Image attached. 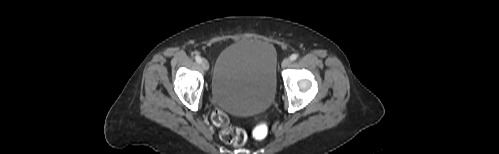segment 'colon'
<instances>
[{
    "instance_id": "colon-1",
    "label": "colon",
    "mask_w": 499,
    "mask_h": 154,
    "mask_svg": "<svg viewBox=\"0 0 499 154\" xmlns=\"http://www.w3.org/2000/svg\"><path fill=\"white\" fill-rule=\"evenodd\" d=\"M212 122L221 128V138L224 142L233 144L235 146H242L247 141L246 132L238 127H232L229 123V118L227 114L220 110L215 109L212 113ZM267 134V128L265 126L259 127L255 132V137H265Z\"/></svg>"
}]
</instances>
